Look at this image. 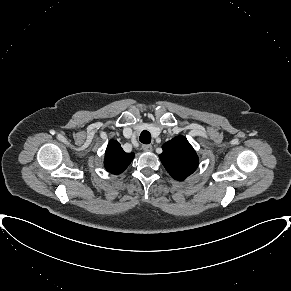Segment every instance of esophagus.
<instances>
[{"instance_id":"34e87169","label":"esophagus","mask_w":291,"mask_h":291,"mask_svg":"<svg viewBox=\"0 0 291 291\" xmlns=\"http://www.w3.org/2000/svg\"><path fill=\"white\" fill-rule=\"evenodd\" d=\"M142 149H143L144 151H146V152H150V151H152V145H150V144H144V145L142 146Z\"/></svg>"}]
</instances>
